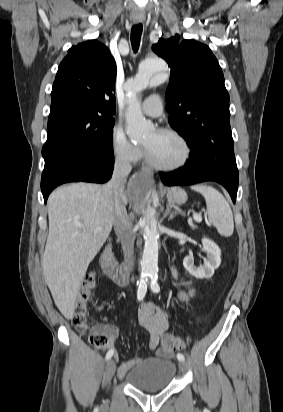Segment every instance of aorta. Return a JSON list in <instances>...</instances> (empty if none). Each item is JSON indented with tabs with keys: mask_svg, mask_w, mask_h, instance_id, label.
<instances>
[{
	"mask_svg": "<svg viewBox=\"0 0 283 412\" xmlns=\"http://www.w3.org/2000/svg\"><path fill=\"white\" fill-rule=\"evenodd\" d=\"M166 63L160 58L145 60L139 67L135 76L125 84L127 97L126 123L127 134L131 140H139L150 132L152 124L144 118L141 111L138 93L147 86H156L163 83L167 76ZM152 189L151 178L138 174L130 184V192L137 198L148 196ZM143 237L145 240L143 257L141 261V275L143 277L154 276L158 272V239L156 227H150L144 218L142 221Z\"/></svg>",
	"mask_w": 283,
	"mask_h": 412,
	"instance_id": "aorta-1",
	"label": "aorta"
}]
</instances>
